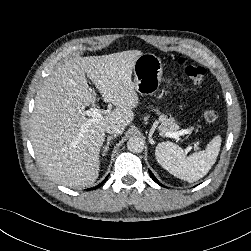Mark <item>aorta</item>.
I'll return each instance as SVG.
<instances>
[{"label":"aorta","mask_w":251,"mask_h":251,"mask_svg":"<svg viewBox=\"0 0 251 251\" xmlns=\"http://www.w3.org/2000/svg\"><path fill=\"white\" fill-rule=\"evenodd\" d=\"M127 148L133 153H140L144 149V140L138 136H132L127 141Z\"/></svg>","instance_id":"1"}]
</instances>
